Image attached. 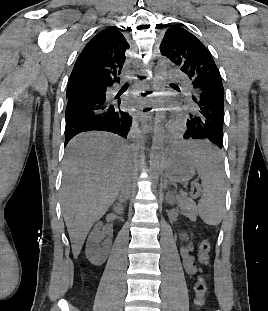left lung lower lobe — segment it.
Segmentation results:
<instances>
[{
  "label": "left lung lower lobe",
  "mask_w": 268,
  "mask_h": 311,
  "mask_svg": "<svg viewBox=\"0 0 268 311\" xmlns=\"http://www.w3.org/2000/svg\"><path fill=\"white\" fill-rule=\"evenodd\" d=\"M193 112L187 119L185 132L181 141L207 140L223 147V91L216 88L205 89L192 95Z\"/></svg>",
  "instance_id": "left-lung-lower-lobe-1"
}]
</instances>
